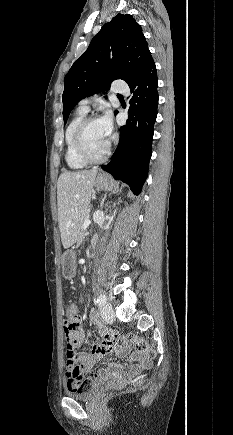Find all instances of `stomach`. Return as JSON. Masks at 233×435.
Wrapping results in <instances>:
<instances>
[{"label": "stomach", "mask_w": 233, "mask_h": 435, "mask_svg": "<svg viewBox=\"0 0 233 435\" xmlns=\"http://www.w3.org/2000/svg\"><path fill=\"white\" fill-rule=\"evenodd\" d=\"M94 186L97 190H111L113 180L103 173L96 177ZM62 275L65 279H72L76 275V254L73 250H66L62 255Z\"/></svg>", "instance_id": "obj_1"}]
</instances>
